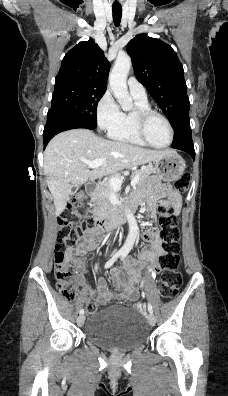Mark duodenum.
Returning <instances> with one entry per match:
<instances>
[{
    "label": "duodenum",
    "instance_id": "duodenum-1",
    "mask_svg": "<svg viewBox=\"0 0 228 396\" xmlns=\"http://www.w3.org/2000/svg\"><path fill=\"white\" fill-rule=\"evenodd\" d=\"M95 191L94 185H89L87 193L93 196ZM137 205L130 202L124 206L113 208V215L107 218H100L97 221L98 229L103 233H112L116 228L122 224L125 219L131 214V212L136 209Z\"/></svg>",
    "mask_w": 228,
    "mask_h": 396
}]
</instances>
